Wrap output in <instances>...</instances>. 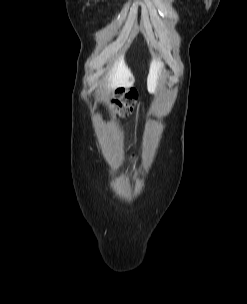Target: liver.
<instances>
[{
    "instance_id": "obj_1",
    "label": "liver",
    "mask_w": 247,
    "mask_h": 304,
    "mask_svg": "<svg viewBox=\"0 0 247 304\" xmlns=\"http://www.w3.org/2000/svg\"><path fill=\"white\" fill-rule=\"evenodd\" d=\"M162 68L163 63L160 60L153 59L150 64V70L147 77V88L152 93L156 91L158 80L161 77ZM107 80V89L114 87L129 88L134 84V77L130 69L125 64L123 56H120L113 64L112 68L109 70Z\"/></svg>"
}]
</instances>
